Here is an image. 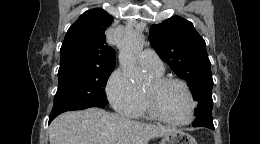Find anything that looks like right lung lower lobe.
<instances>
[{"label": "right lung lower lobe", "mask_w": 260, "mask_h": 144, "mask_svg": "<svg viewBox=\"0 0 260 144\" xmlns=\"http://www.w3.org/2000/svg\"><path fill=\"white\" fill-rule=\"evenodd\" d=\"M100 108H103V107H100ZM54 118L50 117L49 118V123L53 120Z\"/></svg>", "instance_id": "right-lung-lower-lobe-1"}]
</instances>
